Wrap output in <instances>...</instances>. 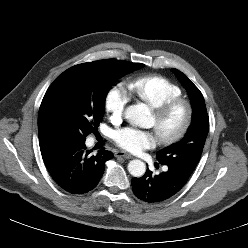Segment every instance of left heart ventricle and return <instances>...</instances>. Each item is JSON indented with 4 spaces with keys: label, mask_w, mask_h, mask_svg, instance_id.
Listing matches in <instances>:
<instances>
[{
    "label": "left heart ventricle",
    "mask_w": 248,
    "mask_h": 248,
    "mask_svg": "<svg viewBox=\"0 0 248 248\" xmlns=\"http://www.w3.org/2000/svg\"><path fill=\"white\" fill-rule=\"evenodd\" d=\"M185 118V110L182 106L176 108L162 122L158 123L153 115L152 127H154L158 137L168 136L175 133L183 124Z\"/></svg>",
    "instance_id": "left-heart-ventricle-1"
}]
</instances>
